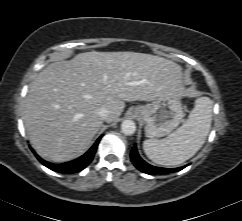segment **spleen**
Segmentation results:
<instances>
[{"mask_svg":"<svg viewBox=\"0 0 242 221\" xmlns=\"http://www.w3.org/2000/svg\"><path fill=\"white\" fill-rule=\"evenodd\" d=\"M212 100L208 97L196 99L188 119L168 137L147 139L143 149L154 163L176 166L193 157L204 144L212 121Z\"/></svg>","mask_w":242,"mask_h":221,"instance_id":"1","label":"spleen"}]
</instances>
